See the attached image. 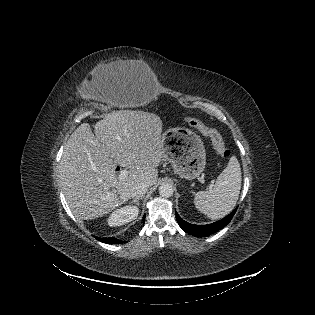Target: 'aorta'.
<instances>
[{"instance_id": "aorta-1", "label": "aorta", "mask_w": 315, "mask_h": 315, "mask_svg": "<svg viewBox=\"0 0 315 315\" xmlns=\"http://www.w3.org/2000/svg\"><path fill=\"white\" fill-rule=\"evenodd\" d=\"M173 192H174V188L171 184L163 183L159 187V194L162 197H166V198L171 197L173 195Z\"/></svg>"}]
</instances>
